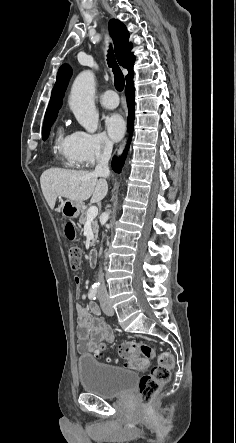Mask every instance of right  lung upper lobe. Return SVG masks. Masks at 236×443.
Instances as JSON below:
<instances>
[{"instance_id":"obj_1","label":"right lung upper lobe","mask_w":236,"mask_h":443,"mask_svg":"<svg viewBox=\"0 0 236 443\" xmlns=\"http://www.w3.org/2000/svg\"><path fill=\"white\" fill-rule=\"evenodd\" d=\"M109 31L113 39L117 61L121 66L128 70L129 75L133 72V64L135 61L134 55L130 53L131 45L129 44V33L125 25L117 19H111L109 21ZM71 74V68L67 64L62 65L59 68L44 122L57 117Z\"/></svg>"}]
</instances>
